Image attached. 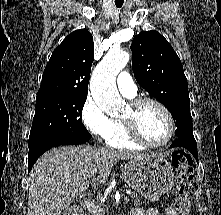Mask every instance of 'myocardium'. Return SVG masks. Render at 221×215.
Returning a JSON list of instances; mask_svg holds the SVG:
<instances>
[{"label":"myocardium","mask_w":221,"mask_h":215,"mask_svg":"<svg viewBox=\"0 0 221 215\" xmlns=\"http://www.w3.org/2000/svg\"><path fill=\"white\" fill-rule=\"evenodd\" d=\"M144 103H153L156 106H158L163 113L165 114L167 121H168V133L165 137V139L157 144H153L145 140V138L141 135L138 125H137V110L138 108L143 105ZM130 107V113L127 116H123L121 119L124 122L126 126V130L128 132V135L131 137L133 141L138 143L139 145L146 147V148H151V149H158L166 146L170 140L172 139L174 133H175V122L174 118L170 112V110L167 108V106L162 103L160 100L154 98V97H149V96H141V97H136L132 99L129 103Z\"/></svg>","instance_id":"1"}]
</instances>
